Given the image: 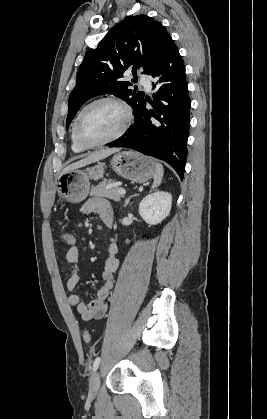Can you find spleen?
Wrapping results in <instances>:
<instances>
[{
  "label": "spleen",
  "instance_id": "1",
  "mask_svg": "<svg viewBox=\"0 0 267 419\" xmlns=\"http://www.w3.org/2000/svg\"><path fill=\"white\" fill-rule=\"evenodd\" d=\"M163 174H164V169H163L162 164L156 162L155 163L154 182H153V185H152V189L157 188L161 184Z\"/></svg>",
  "mask_w": 267,
  "mask_h": 419
}]
</instances>
